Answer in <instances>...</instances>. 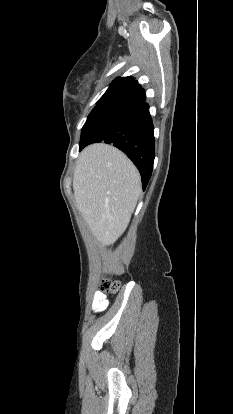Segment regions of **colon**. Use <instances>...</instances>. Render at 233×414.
Here are the masks:
<instances>
[{"label":"colon","instance_id":"1","mask_svg":"<svg viewBox=\"0 0 233 414\" xmlns=\"http://www.w3.org/2000/svg\"><path fill=\"white\" fill-rule=\"evenodd\" d=\"M119 288L117 281L104 280L101 284V290L107 293H115Z\"/></svg>","mask_w":233,"mask_h":414}]
</instances>
